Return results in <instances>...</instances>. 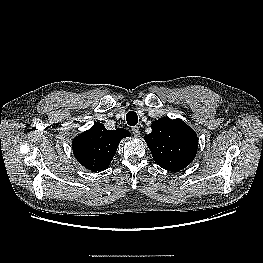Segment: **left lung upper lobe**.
Listing matches in <instances>:
<instances>
[{
    "instance_id": "1",
    "label": "left lung upper lobe",
    "mask_w": 263,
    "mask_h": 263,
    "mask_svg": "<svg viewBox=\"0 0 263 263\" xmlns=\"http://www.w3.org/2000/svg\"><path fill=\"white\" fill-rule=\"evenodd\" d=\"M144 136L155 162L162 168L177 172L188 166L197 153L196 133L184 122L161 118L151 125Z\"/></svg>"
}]
</instances>
